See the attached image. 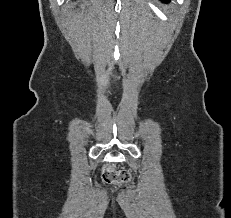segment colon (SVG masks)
I'll return each instance as SVG.
<instances>
[{
	"mask_svg": "<svg viewBox=\"0 0 231 218\" xmlns=\"http://www.w3.org/2000/svg\"><path fill=\"white\" fill-rule=\"evenodd\" d=\"M102 179L107 184L128 183L131 173L127 169H116L112 164H106L102 168Z\"/></svg>",
	"mask_w": 231,
	"mask_h": 218,
	"instance_id": "obj_1",
	"label": "colon"
}]
</instances>
